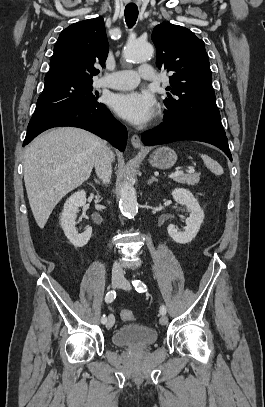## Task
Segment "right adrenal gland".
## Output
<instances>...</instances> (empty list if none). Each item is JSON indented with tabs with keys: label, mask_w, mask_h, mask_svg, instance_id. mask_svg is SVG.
Segmentation results:
<instances>
[{
	"label": "right adrenal gland",
	"mask_w": 265,
	"mask_h": 407,
	"mask_svg": "<svg viewBox=\"0 0 265 407\" xmlns=\"http://www.w3.org/2000/svg\"><path fill=\"white\" fill-rule=\"evenodd\" d=\"M94 181L96 184H100L99 180H97L96 178H94Z\"/></svg>",
	"instance_id": "1"
}]
</instances>
